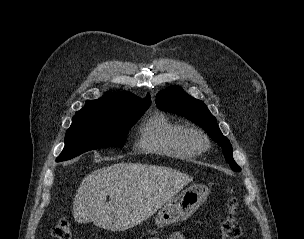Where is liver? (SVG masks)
Wrapping results in <instances>:
<instances>
[{"label": "liver", "instance_id": "liver-1", "mask_svg": "<svg viewBox=\"0 0 304 239\" xmlns=\"http://www.w3.org/2000/svg\"><path fill=\"white\" fill-rule=\"evenodd\" d=\"M192 180L163 166L121 162L100 168L82 180L73 216L78 223L93 222L114 232L126 230L147 220Z\"/></svg>", "mask_w": 304, "mask_h": 239}]
</instances>
